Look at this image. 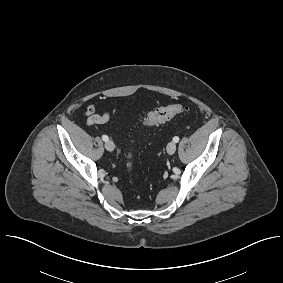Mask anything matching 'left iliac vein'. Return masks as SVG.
Masks as SVG:
<instances>
[{
  "mask_svg": "<svg viewBox=\"0 0 283 283\" xmlns=\"http://www.w3.org/2000/svg\"><path fill=\"white\" fill-rule=\"evenodd\" d=\"M176 151V143L174 141H171L167 145V152L168 154L172 155Z\"/></svg>",
  "mask_w": 283,
  "mask_h": 283,
  "instance_id": "obj_1",
  "label": "left iliac vein"
}]
</instances>
